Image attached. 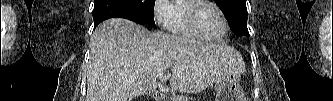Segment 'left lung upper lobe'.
Returning <instances> with one entry per match:
<instances>
[{"mask_svg": "<svg viewBox=\"0 0 333 101\" xmlns=\"http://www.w3.org/2000/svg\"><path fill=\"white\" fill-rule=\"evenodd\" d=\"M229 21L232 31L237 36L246 35L247 8L246 0H214Z\"/></svg>", "mask_w": 333, "mask_h": 101, "instance_id": "5c2ea615", "label": "left lung upper lobe"}]
</instances>
